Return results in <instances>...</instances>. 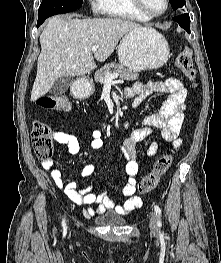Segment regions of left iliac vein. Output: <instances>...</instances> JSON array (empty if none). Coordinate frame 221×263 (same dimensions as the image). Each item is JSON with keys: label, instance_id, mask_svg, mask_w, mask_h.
I'll use <instances>...</instances> for the list:
<instances>
[{"label": "left iliac vein", "instance_id": "4c4485c4", "mask_svg": "<svg viewBox=\"0 0 221 263\" xmlns=\"http://www.w3.org/2000/svg\"><path fill=\"white\" fill-rule=\"evenodd\" d=\"M157 215L154 212L150 213V222H149V227L150 230L153 233H156L158 231V225H157Z\"/></svg>", "mask_w": 221, "mask_h": 263}]
</instances>
